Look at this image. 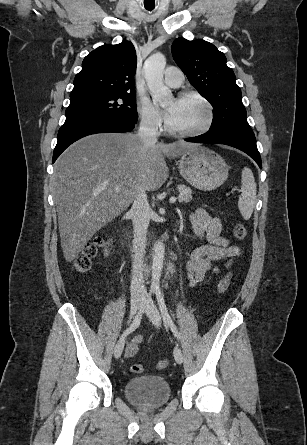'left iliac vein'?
Wrapping results in <instances>:
<instances>
[{
	"label": "left iliac vein",
	"mask_w": 307,
	"mask_h": 445,
	"mask_svg": "<svg viewBox=\"0 0 307 445\" xmlns=\"http://www.w3.org/2000/svg\"><path fill=\"white\" fill-rule=\"evenodd\" d=\"M144 312L155 327H159L161 325V316L159 310L151 300L146 304ZM173 353L176 362L178 364H181L183 362V354L181 349L178 346H175Z\"/></svg>",
	"instance_id": "4c4485c4"
}]
</instances>
